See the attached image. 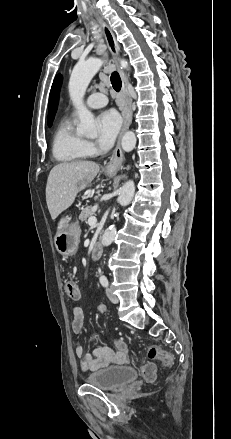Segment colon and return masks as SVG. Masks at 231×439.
Wrapping results in <instances>:
<instances>
[{"mask_svg":"<svg viewBox=\"0 0 231 439\" xmlns=\"http://www.w3.org/2000/svg\"><path fill=\"white\" fill-rule=\"evenodd\" d=\"M65 292L69 298H80L81 290L77 288L74 281L68 280L65 283ZM147 357L151 360H160L164 366L169 367L173 365V356L156 345H151L146 350ZM140 374L146 381H153L155 379L156 369L153 364H145L140 368Z\"/></svg>","mask_w":231,"mask_h":439,"instance_id":"5ec220e1","label":"colon"}]
</instances>
